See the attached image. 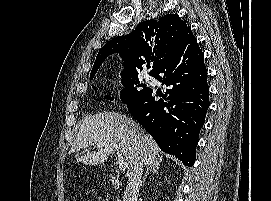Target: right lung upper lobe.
Returning a JSON list of instances; mask_svg holds the SVG:
<instances>
[{
    "mask_svg": "<svg viewBox=\"0 0 271 201\" xmlns=\"http://www.w3.org/2000/svg\"><path fill=\"white\" fill-rule=\"evenodd\" d=\"M187 38H194L193 33L178 15L143 21L131 33L113 38L101 48L90 76L95 75L105 58L118 52L125 66L121 74L138 75L145 64L148 67L153 62L149 74L154 75Z\"/></svg>",
    "mask_w": 271,
    "mask_h": 201,
    "instance_id": "cb5924a9",
    "label": "right lung upper lobe"
}]
</instances>
